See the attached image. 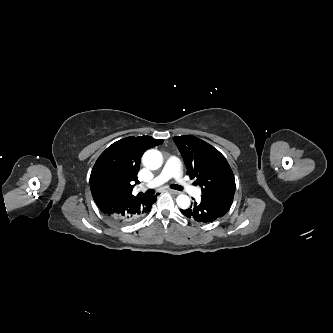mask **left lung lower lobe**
<instances>
[{
  "label": "left lung lower lobe",
  "instance_id": "left-lung-lower-lobe-1",
  "mask_svg": "<svg viewBox=\"0 0 333 333\" xmlns=\"http://www.w3.org/2000/svg\"><path fill=\"white\" fill-rule=\"evenodd\" d=\"M230 207L231 205L228 203L202 197L201 201L194 202L190 208L180 211L198 222H213L225 215Z\"/></svg>",
  "mask_w": 333,
  "mask_h": 333
}]
</instances>
